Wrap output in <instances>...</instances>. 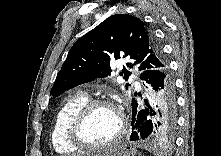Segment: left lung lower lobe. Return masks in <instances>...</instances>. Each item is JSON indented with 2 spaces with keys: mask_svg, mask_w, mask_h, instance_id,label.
<instances>
[{
  "mask_svg": "<svg viewBox=\"0 0 221 156\" xmlns=\"http://www.w3.org/2000/svg\"><path fill=\"white\" fill-rule=\"evenodd\" d=\"M144 91L139 96L143 104L132 100L131 141L169 139L176 120V92L174 78L168 64L141 73Z\"/></svg>",
  "mask_w": 221,
  "mask_h": 156,
  "instance_id": "obj_1",
  "label": "left lung lower lobe"
}]
</instances>
